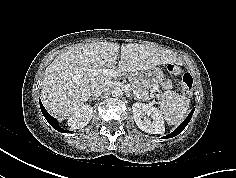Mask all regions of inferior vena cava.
Wrapping results in <instances>:
<instances>
[{
	"label": "inferior vena cava",
	"instance_id": "obj_1",
	"mask_svg": "<svg viewBox=\"0 0 236 178\" xmlns=\"http://www.w3.org/2000/svg\"><path fill=\"white\" fill-rule=\"evenodd\" d=\"M110 83L105 82L103 84L100 85H95L92 89H91V94L94 95L95 97L100 96L103 92H105L109 87H110Z\"/></svg>",
	"mask_w": 236,
	"mask_h": 178
}]
</instances>
